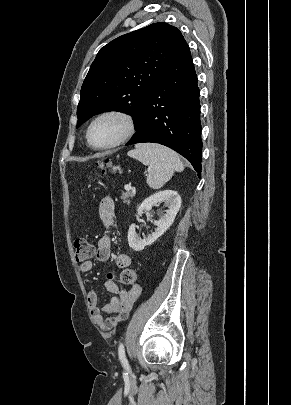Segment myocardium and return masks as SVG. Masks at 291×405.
<instances>
[{
    "mask_svg": "<svg viewBox=\"0 0 291 405\" xmlns=\"http://www.w3.org/2000/svg\"><path fill=\"white\" fill-rule=\"evenodd\" d=\"M106 117H115V118L120 119L123 122V126H124L123 132L116 140H114L110 144H107L104 146H94L90 141L91 129L95 123H97L99 120L106 118ZM134 133H135V120L130 113H128L124 110H120V109H108V110H104V111L98 113L90 121V123L88 124L87 129H86L85 138H86V142H87V145L89 146V148L96 150V151H104V150L114 149V148L124 144L134 135Z\"/></svg>",
    "mask_w": 291,
    "mask_h": 405,
    "instance_id": "myocardium-1",
    "label": "myocardium"
}]
</instances>
